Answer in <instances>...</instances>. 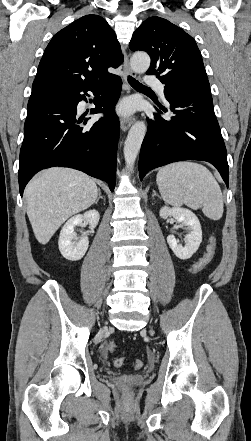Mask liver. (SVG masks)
<instances>
[{"mask_svg":"<svg viewBox=\"0 0 251 441\" xmlns=\"http://www.w3.org/2000/svg\"><path fill=\"white\" fill-rule=\"evenodd\" d=\"M98 191L94 180L74 169L54 167L34 177L24 194L27 215L38 242L48 243L69 217L96 201Z\"/></svg>","mask_w":251,"mask_h":441,"instance_id":"obj_1","label":"liver"}]
</instances>
